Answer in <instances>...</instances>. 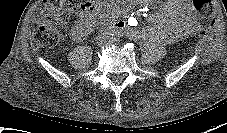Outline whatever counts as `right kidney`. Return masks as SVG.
<instances>
[{
	"mask_svg": "<svg viewBox=\"0 0 227 133\" xmlns=\"http://www.w3.org/2000/svg\"><path fill=\"white\" fill-rule=\"evenodd\" d=\"M77 34H78V31H73L72 32V36H77Z\"/></svg>",
	"mask_w": 227,
	"mask_h": 133,
	"instance_id": "obj_1",
	"label": "right kidney"
}]
</instances>
